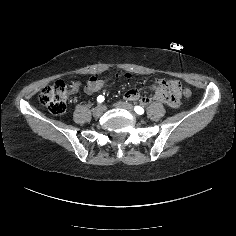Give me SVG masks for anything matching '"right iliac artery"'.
<instances>
[{"label":"right iliac artery","mask_w":236,"mask_h":236,"mask_svg":"<svg viewBox=\"0 0 236 236\" xmlns=\"http://www.w3.org/2000/svg\"><path fill=\"white\" fill-rule=\"evenodd\" d=\"M97 101H98L99 103H102V102L104 101V96L99 95V96L97 97Z\"/></svg>","instance_id":"82829eb1"}]
</instances>
